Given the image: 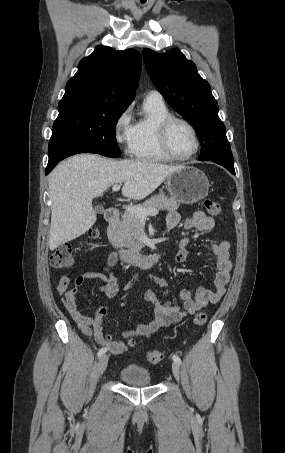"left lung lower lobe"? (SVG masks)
I'll return each instance as SVG.
<instances>
[{
	"mask_svg": "<svg viewBox=\"0 0 285 453\" xmlns=\"http://www.w3.org/2000/svg\"><path fill=\"white\" fill-rule=\"evenodd\" d=\"M209 161H212V162H215L219 165H222L224 166L226 169H228L231 173L235 174V170H234V163L232 164H229V163H226L225 161L221 160V159H211Z\"/></svg>",
	"mask_w": 285,
	"mask_h": 453,
	"instance_id": "1",
	"label": "left lung lower lobe"
}]
</instances>
